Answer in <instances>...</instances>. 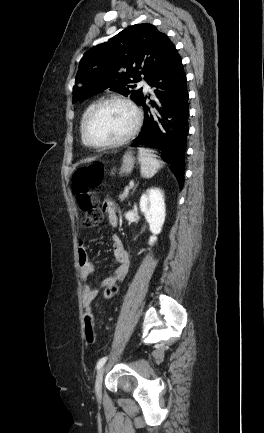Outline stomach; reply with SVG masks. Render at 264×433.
<instances>
[{
    "label": "stomach",
    "instance_id": "1",
    "mask_svg": "<svg viewBox=\"0 0 264 433\" xmlns=\"http://www.w3.org/2000/svg\"><path fill=\"white\" fill-rule=\"evenodd\" d=\"M135 164V157L131 151H127L122 159V165L119 174L126 175L131 173Z\"/></svg>",
    "mask_w": 264,
    "mask_h": 433
}]
</instances>
